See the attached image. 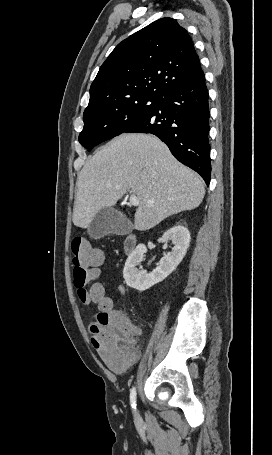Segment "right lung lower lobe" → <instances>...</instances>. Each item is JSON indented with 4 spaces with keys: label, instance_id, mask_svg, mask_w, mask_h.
<instances>
[{
    "label": "right lung lower lobe",
    "instance_id": "98d812e1",
    "mask_svg": "<svg viewBox=\"0 0 272 455\" xmlns=\"http://www.w3.org/2000/svg\"><path fill=\"white\" fill-rule=\"evenodd\" d=\"M132 132L159 137L177 160L209 185V105L204 74L164 94L152 113L125 131Z\"/></svg>",
    "mask_w": 272,
    "mask_h": 455
}]
</instances>
